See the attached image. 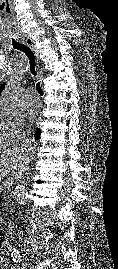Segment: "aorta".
Returning <instances> with one entry per match:
<instances>
[{
  "mask_svg": "<svg viewBox=\"0 0 118 269\" xmlns=\"http://www.w3.org/2000/svg\"><path fill=\"white\" fill-rule=\"evenodd\" d=\"M19 87H20V78L15 77L14 79L11 80L10 84L5 90L4 98L2 101V105L4 107L9 108L13 104L18 94ZM27 197L28 192L25 184L17 185L13 191V198L15 199V201L23 202L27 199Z\"/></svg>",
  "mask_w": 118,
  "mask_h": 269,
  "instance_id": "762f6f07",
  "label": "aorta"
}]
</instances>
